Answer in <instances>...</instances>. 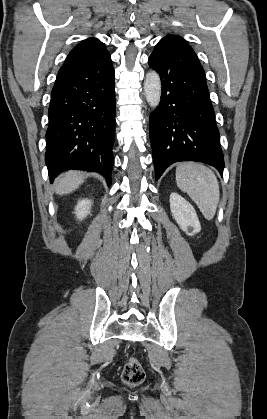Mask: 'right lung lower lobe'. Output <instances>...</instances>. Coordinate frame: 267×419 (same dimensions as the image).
<instances>
[{"instance_id": "obj_1", "label": "right lung lower lobe", "mask_w": 267, "mask_h": 419, "mask_svg": "<svg viewBox=\"0 0 267 419\" xmlns=\"http://www.w3.org/2000/svg\"><path fill=\"white\" fill-rule=\"evenodd\" d=\"M112 61L63 65L51 93L45 161L51 182L68 169L94 171L111 185L115 138Z\"/></svg>"}]
</instances>
